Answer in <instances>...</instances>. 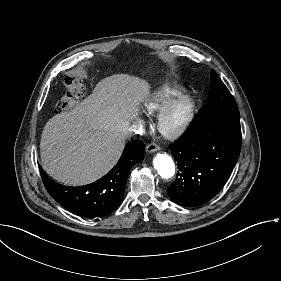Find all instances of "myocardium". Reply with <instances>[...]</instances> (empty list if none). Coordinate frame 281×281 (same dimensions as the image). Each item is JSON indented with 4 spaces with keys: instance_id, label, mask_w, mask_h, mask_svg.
Here are the masks:
<instances>
[{
    "instance_id": "obj_1",
    "label": "myocardium",
    "mask_w": 281,
    "mask_h": 281,
    "mask_svg": "<svg viewBox=\"0 0 281 281\" xmlns=\"http://www.w3.org/2000/svg\"><path fill=\"white\" fill-rule=\"evenodd\" d=\"M183 107L181 119L173 124L169 123L172 112ZM195 102L189 94H180L166 103L156 115L155 126L158 133L166 140L174 141L181 137L189 128L195 115Z\"/></svg>"
}]
</instances>
